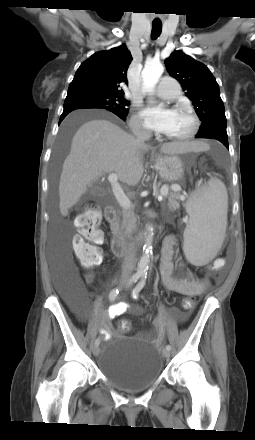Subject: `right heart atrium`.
Instances as JSON below:
<instances>
[{
  "mask_svg": "<svg viewBox=\"0 0 255 440\" xmlns=\"http://www.w3.org/2000/svg\"><path fill=\"white\" fill-rule=\"evenodd\" d=\"M130 128L134 133H146L147 127L138 113H134L130 119Z\"/></svg>",
  "mask_w": 255,
  "mask_h": 440,
  "instance_id": "d8ad5b80",
  "label": "right heart atrium"
}]
</instances>
